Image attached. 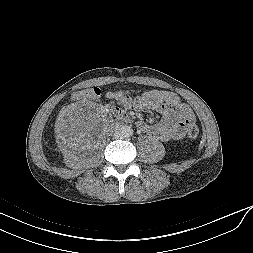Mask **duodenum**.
Listing matches in <instances>:
<instances>
[{
    "mask_svg": "<svg viewBox=\"0 0 253 253\" xmlns=\"http://www.w3.org/2000/svg\"><path fill=\"white\" fill-rule=\"evenodd\" d=\"M119 118H120L122 121H124V122L130 121V118H129L127 115H125V114H120V115H119Z\"/></svg>",
    "mask_w": 253,
    "mask_h": 253,
    "instance_id": "duodenum-1",
    "label": "duodenum"
}]
</instances>
